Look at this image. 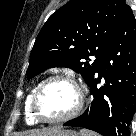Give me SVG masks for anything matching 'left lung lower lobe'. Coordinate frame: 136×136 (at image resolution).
<instances>
[{
	"label": "left lung lower lobe",
	"mask_w": 136,
	"mask_h": 136,
	"mask_svg": "<svg viewBox=\"0 0 136 136\" xmlns=\"http://www.w3.org/2000/svg\"><path fill=\"white\" fill-rule=\"evenodd\" d=\"M102 78L105 84L98 88ZM88 86L93 95L89 108L63 126L83 127L103 136H130L136 109V21L131 9L105 48Z\"/></svg>",
	"instance_id": "obj_1"
}]
</instances>
